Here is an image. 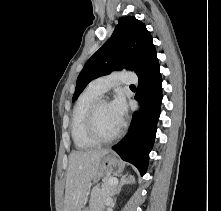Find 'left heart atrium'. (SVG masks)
<instances>
[{"mask_svg":"<svg viewBox=\"0 0 221 211\" xmlns=\"http://www.w3.org/2000/svg\"><path fill=\"white\" fill-rule=\"evenodd\" d=\"M109 105L116 121L121 126L127 112V104L124 96L122 94H117Z\"/></svg>","mask_w":221,"mask_h":211,"instance_id":"1","label":"left heart atrium"}]
</instances>
